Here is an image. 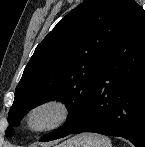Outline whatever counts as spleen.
I'll return each mask as SVG.
<instances>
[{"label":"spleen","instance_id":"obj_1","mask_svg":"<svg viewBox=\"0 0 145 147\" xmlns=\"http://www.w3.org/2000/svg\"><path fill=\"white\" fill-rule=\"evenodd\" d=\"M68 147H112L111 140L99 134L83 133L70 140Z\"/></svg>","mask_w":145,"mask_h":147}]
</instances>
